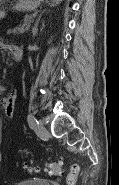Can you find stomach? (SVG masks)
Returning <instances> with one entry per match:
<instances>
[{
	"mask_svg": "<svg viewBox=\"0 0 119 185\" xmlns=\"http://www.w3.org/2000/svg\"><path fill=\"white\" fill-rule=\"evenodd\" d=\"M43 0H19L15 8L19 11H32L36 9ZM5 16L4 11H0V19Z\"/></svg>",
	"mask_w": 119,
	"mask_h": 185,
	"instance_id": "0dacf381",
	"label": "stomach"
}]
</instances>
